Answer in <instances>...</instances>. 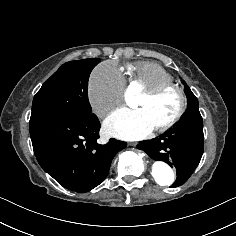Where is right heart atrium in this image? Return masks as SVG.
Segmentation results:
<instances>
[{"instance_id": "1", "label": "right heart atrium", "mask_w": 236, "mask_h": 236, "mask_svg": "<svg viewBox=\"0 0 236 236\" xmlns=\"http://www.w3.org/2000/svg\"><path fill=\"white\" fill-rule=\"evenodd\" d=\"M124 89V78L116 67L109 63L97 66L88 81V98L93 113L104 118L120 105Z\"/></svg>"}]
</instances>
